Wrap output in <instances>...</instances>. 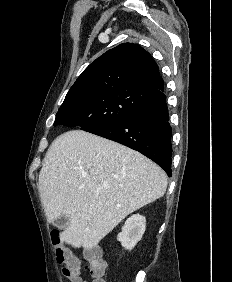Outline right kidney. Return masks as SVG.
<instances>
[{
	"label": "right kidney",
	"instance_id": "1",
	"mask_svg": "<svg viewBox=\"0 0 232 282\" xmlns=\"http://www.w3.org/2000/svg\"><path fill=\"white\" fill-rule=\"evenodd\" d=\"M146 219L139 214L129 217L125 225L122 227V231L118 234V241L127 250H132L137 242H139L145 232Z\"/></svg>",
	"mask_w": 232,
	"mask_h": 282
}]
</instances>
